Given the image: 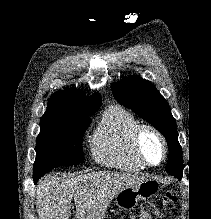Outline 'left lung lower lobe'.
Returning a JSON list of instances; mask_svg holds the SVG:
<instances>
[{
    "instance_id": "1",
    "label": "left lung lower lobe",
    "mask_w": 211,
    "mask_h": 219,
    "mask_svg": "<svg viewBox=\"0 0 211 219\" xmlns=\"http://www.w3.org/2000/svg\"><path fill=\"white\" fill-rule=\"evenodd\" d=\"M168 163L174 167H179L181 165V176L183 173V163L182 154L174 149H169V160Z\"/></svg>"
}]
</instances>
